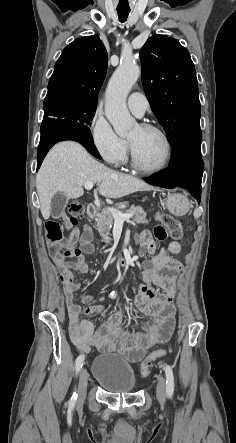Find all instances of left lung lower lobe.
Instances as JSON below:
<instances>
[{
    "label": "left lung lower lobe",
    "instance_id": "left-lung-lower-lobe-1",
    "mask_svg": "<svg viewBox=\"0 0 236 443\" xmlns=\"http://www.w3.org/2000/svg\"><path fill=\"white\" fill-rule=\"evenodd\" d=\"M201 138L202 132L200 129H192L181 133L172 143L169 167L145 178V181L163 188H187L200 203L203 174Z\"/></svg>",
    "mask_w": 236,
    "mask_h": 443
}]
</instances>
